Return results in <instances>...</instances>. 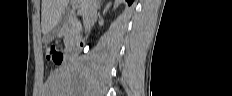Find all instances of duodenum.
I'll return each instance as SVG.
<instances>
[{
    "label": "duodenum",
    "mask_w": 232,
    "mask_h": 96,
    "mask_svg": "<svg viewBox=\"0 0 232 96\" xmlns=\"http://www.w3.org/2000/svg\"><path fill=\"white\" fill-rule=\"evenodd\" d=\"M65 31H67L70 34H74L77 31H79V26L75 25L71 28L66 29ZM84 47V43L81 39H77L74 43V45L70 46L66 51H65V57L66 60L68 61H73L75 60L78 55L80 54V52L82 51Z\"/></svg>",
    "instance_id": "410a0bca"
}]
</instances>
